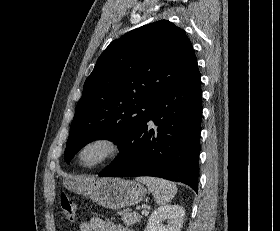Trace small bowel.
Instances as JSON below:
<instances>
[{"label":"small bowel","instance_id":"small-bowel-1","mask_svg":"<svg viewBox=\"0 0 280 231\" xmlns=\"http://www.w3.org/2000/svg\"><path fill=\"white\" fill-rule=\"evenodd\" d=\"M79 231H128L121 224L112 221L103 220L101 218H92L84 221L79 225Z\"/></svg>","mask_w":280,"mask_h":231}]
</instances>
